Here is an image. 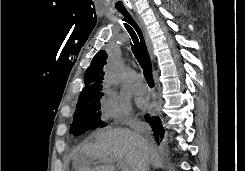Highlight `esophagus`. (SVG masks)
I'll return each instance as SVG.
<instances>
[{"label": "esophagus", "mask_w": 245, "mask_h": 171, "mask_svg": "<svg viewBox=\"0 0 245 171\" xmlns=\"http://www.w3.org/2000/svg\"><path fill=\"white\" fill-rule=\"evenodd\" d=\"M127 10L132 14L133 18L135 19V21L137 22V24L139 25L144 39H145V43L148 49V52L150 54V57L152 60H154V50H153V44L152 41L150 39L149 33L146 29V26L144 25L142 19L140 18V16L135 12L134 8L130 5V4H126L125 5Z\"/></svg>", "instance_id": "1"}]
</instances>
